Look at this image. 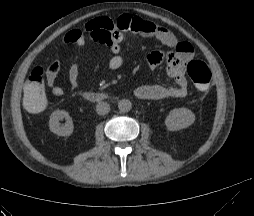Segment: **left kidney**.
Here are the masks:
<instances>
[{"label": "left kidney", "instance_id": "left-kidney-1", "mask_svg": "<svg viewBox=\"0 0 254 216\" xmlns=\"http://www.w3.org/2000/svg\"><path fill=\"white\" fill-rule=\"evenodd\" d=\"M195 114L188 108H175L170 111L165 119V125L169 131H178L192 125Z\"/></svg>", "mask_w": 254, "mask_h": 216}]
</instances>
